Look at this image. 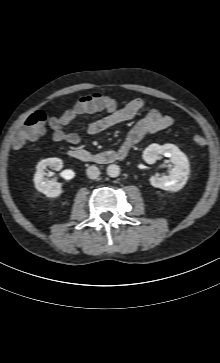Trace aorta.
<instances>
[{
    "label": "aorta",
    "instance_id": "obj_1",
    "mask_svg": "<svg viewBox=\"0 0 220 363\" xmlns=\"http://www.w3.org/2000/svg\"><path fill=\"white\" fill-rule=\"evenodd\" d=\"M120 174V168L116 164H111L107 167V175L110 177H117Z\"/></svg>",
    "mask_w": 220,
    "mask_h": 363
}]
</instances>
